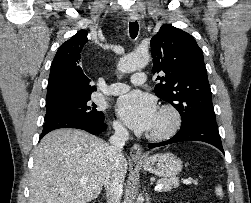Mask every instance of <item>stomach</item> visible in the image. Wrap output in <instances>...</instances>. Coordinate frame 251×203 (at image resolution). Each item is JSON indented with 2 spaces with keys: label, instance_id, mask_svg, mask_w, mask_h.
Instances as JSON below:
<instances>
[{
  "label": "stomach",
  "instance_id": "obj_1",
  "mask_svg": "<svg viewBox=\"0 0 251 203\" xmlns=\"http://www.w3.org/2000/svg\"><path fill=\"white\" fill-rule=\"evenodd\" d=\"M146 171L164 178H172L182 170V161L172 153L166 152L137 161Z\"/></svg>",
  "mask_w": 251,
  "mask_h": 203
}]
</instances>
